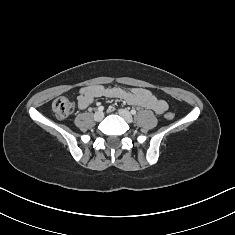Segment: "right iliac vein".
Returning a JSON list of instances; mask_svg holds the SVG:
<instances>
[{
  "instance_id": "obj_1",
  "label": "right iliac vein",
  "mask_w": 235,
  "mask_h": 235,
  "mask_svg": "<svg viewBox=\"0 0 235 235\" xmlns=\"http://www.w3.org/2000/svg\"><path fill=\"white\" fill-rule=\"evenodd\" d=\"M104 118V113L102 111H97L94 114V120L95 121H101Z\"/></svg>"
}]
</instances>
